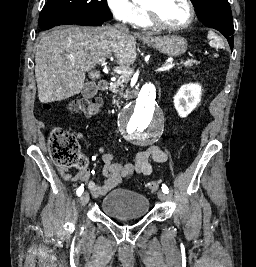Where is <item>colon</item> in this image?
<instances>
[{"label":"colon","instance_id":"1","mask_svg":"<svg viewBox=\"0 0 256 267\" xmlns=\"http://www.w3.org/2000/svg\"><path fill=\"white\" fill-rule=\"evenodd\" d=\"M49 108L48 105H45ZM71 110L79 115H91L98 111L99 102L95 98L75 99L70 103ZM50 151L53 160L60 165L67 167L82 166L86 158L79 152V144L75 138L63 129H55L50 137ZM160 182L151 181L145 184L150 192H158Z\"/></svg>","mask_w":256,"mask_h":267}]
</instances>
